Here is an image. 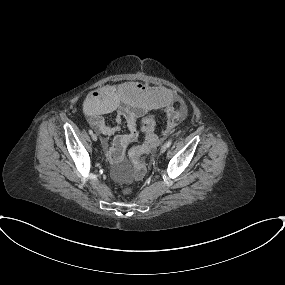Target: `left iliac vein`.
I'll list each match as a JSON object with an SVG mask.
<instances>
[{
	"mask_svg": "<svg viewBox=\"0 0 285 285\" xmlns=\"http://www.w3.org/2000/svg\"><path fill=\"white\" fill-rule=\"evenodd\" d=\"M167 144L165 143V144H163L162 146H161V149H160V153H164L166 150H167Z\"/></svg>",
	"mask_w": 285,
	"mask_h": 285,
	"instance_id": "4c4485c4",
	"label": "left iliac vein"
}]
</instances>
